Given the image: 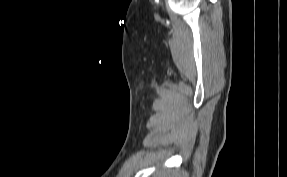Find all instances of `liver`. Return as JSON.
Instances as JSON below:
<instances>
[{
    "label": "liver",
    "mask_w": 287,
    "mask_h": 177,
    "mask_svg": "<svg viewBox=\"0 0 287 177\" xmlns=\"http://www.w3.org/2000/svg\"><path fill=\"white\" fill-rule=\"evenodd\" d=\"M155 177H178L176 172H172L171 170H163L158 172Z\"/></svg>",
    "instance_id": "liver-1"
}]
</instances>
